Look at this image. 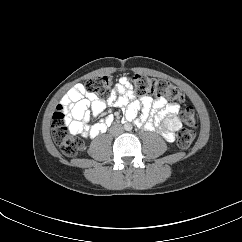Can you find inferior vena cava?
I'll return each mask as SVG.
<instances>
[{
    "instance_id": "1",
    "label": "inferior vena cava",
    "mask_w": 242,
    "mask_h": 242,
    "mask_svg": "<svg viewBox=\"0 0 242 242\" xmlns=\"http://www.w3.org/2000/svg\"><path fill=\"white\" fill-rule=\"evenodd\" d=\"M111 133L113 135H119L123 133V127L121 125H115L111 128Z\"/></svg>"
}]
</instances>
